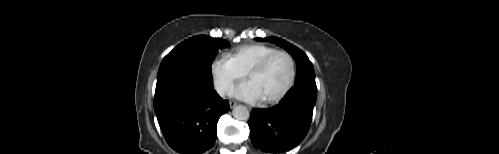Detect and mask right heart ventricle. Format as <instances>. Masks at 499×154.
Masks as SVG:
<instances>
[{
    "instance_id": "1",
    "label": "right heart ventricle",
    "mask_w": 499,
    "mask_h": 154,
    "mask_svg": "<svg viewBox=\"0 0 499 154\" xmlns=\"http://www.w3.org/2000/svg\"><path fill=\"white\" fill-rule=\"evenodd\" d=\"M275 50L276 48L266 44L249 43L234 48L227 53V57L246 73L254 64Z\"/></svg>"
}]
</instances>
